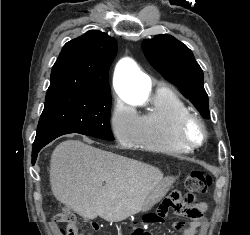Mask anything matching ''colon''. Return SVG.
Instances as JSON below:
<instances>
[{"label": "colon", "mask_w": 250, "mask_h": 235, "mask_svg": "<svg viewBox=\"0 0 250 235\" xmlns=\"http://www.w3.org/2000/svg\"><path fill=\"white\" fill-rule=\"evenodd\" d=\"M211 185V177L207 173L201 170H194L192 171L184 181L185 187V196L184 201L186 203V207H191L194 203L196 195L200 193H204L208 190L209 186ZM183 205L174 204L171 202V207L174 210H178ZM160 210V209H159ZM160 211L157 214H154V221H160L164 217L161 218ZM166 215V214H165ZM197 216L196 213L187 216L189 218H195ZM56 221L58 223L65 224V229L63 232L66 235H82L81 234V226L76 220L75 216L68 210L63 209L56 215ZM138 235H151L150 233H143L142 231L138 232Z\"/></svg>", "instance_id": "5ec220e1"}]
</instances>
